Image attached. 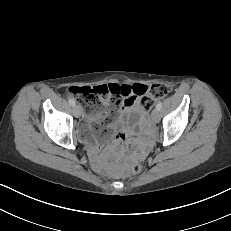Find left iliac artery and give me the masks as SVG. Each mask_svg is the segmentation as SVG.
I'll list each match as a JSON object with an SVG mask.
<instances>
[{"label":"left iliac artery","mask_w":231,"mask_h":231,"mask_svg":"<svg viewBox=\"0 0 231 231\" xmlns=\"http://www.w3.org/2000/svg\"><path fill=\"white\" fill-rule=\"evenodd\" d=\"M161 108H162V103L158 102L156 105V109L161 110Z\"/></svg>","instance_id":"left-iliac-artery-1"}]
</instances>
